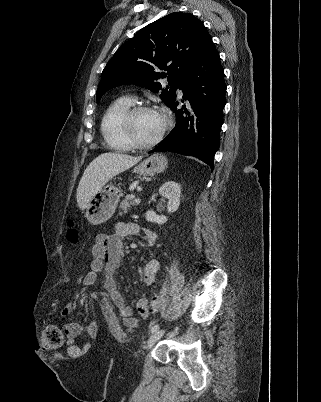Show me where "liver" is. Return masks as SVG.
Returning a JSON list of instances; mask_svg holds the SVG:
<instances>
[{"mask_svg": "<svg viewBox=\"0 0 321 402\" xmlns=\"http://www.w3.org/2000/svg\"><path fill=\"white\" fill-rule=\"evenodd\" d=\"M142 159L127 154L107 152L96 157L85 169L77 188V203L87 208L92 197L114 176L131 168Z\"/></svg>", "mask_w": 321, "mask_h": 402, "instance_id": "1", "label": "liver"}]
</instances>
